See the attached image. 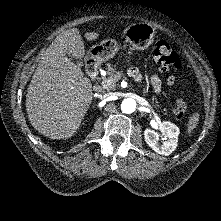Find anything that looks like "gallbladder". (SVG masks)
<instances>
[{
	"label": "gallbladder",
	"mask_w": 221,
	"mask_h": 221,
	"mask_svg": "<svg viewBox=\"0 0 221 221\" xmlns=\"http://www.w3.org/2000/svg\"><path fill=\"white\" fill-rule=\"evenodd\" d=\"M70 59H72V56H70V55H67ZM76 61H77V64L79 65V66H81L82 65V61H80V59H76Z\"/></svg>",
	"instance_id": "1"
}]
</instances>
